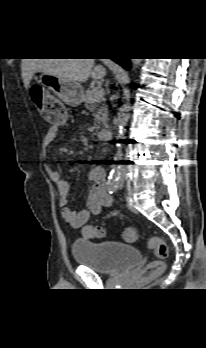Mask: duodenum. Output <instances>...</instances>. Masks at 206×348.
<instances>
[{
    "instance_id": "410a0bca",
    "label": "duodenum",
    "mask_w": 206,
    "mask_h": 348,
    "mask_svg": "<svg viewBox=\"0 0 206 348\" xmlns=\"http://www.w3.org/2000/svg\"><path fill=\"white\" fill-rule=\"evenodd\" d=\"M111 134H112V132L110 130L105 129L99 133V138L101 140H107V139H109Z\"/></svg>"
}]
</instances>
